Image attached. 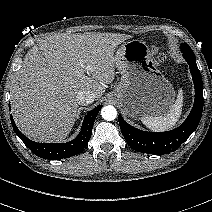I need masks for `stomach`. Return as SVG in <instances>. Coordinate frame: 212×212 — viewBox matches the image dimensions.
Listing matches in <instances>:
<instances>
[{"label":"stomach","instance_id":"stomach-1","mask_svg":"<svg viewBox=\"0 0 212 212\" xmlns=\"http://www.w3.org/2000/svg\"><path fill=\"white\" fill-rule=\"evenodd\" d=\"M114 62L121 78L113 93L129 117L140 119L169 112L175 101V90L142 41L123 43L116 51Z\"/></svg>","mask_w":212,"mask_h":212}]
</instances>
